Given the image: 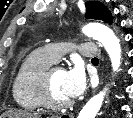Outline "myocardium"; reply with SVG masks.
Here are the masks:
<instances>
[{"instance_id": "myocardium-1", "label": "myocardium", "mask_w": 133, "mask_h": 118, "mask_svg": "<svg viewBox=\"0 0 133 118\" xmlns=\"http://www.w3.org/2000/svg\"><path fill=\"white\" fill-rule=\"evenodd\" d=\"M58 66L50 65L42 73L39 79L38 95L42 106L52 111L66 110L73 105L71 100L65 102H57L51 96V74Z\"/></svg>"}]
</instances>
